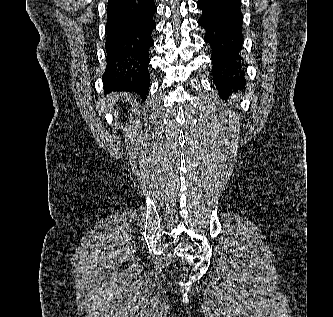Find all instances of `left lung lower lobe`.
I'll use <instances>...</instances> for the list:
<instances>
[{"label": "left lung lower lobe", "instance_id": "1", "mask_svg": "<svg viewBox=\"0 0 333 317\" xmlns=\"http://www.w3.org/2000/svg\"><path fill=\"white\" fill-rule=\"evenodd\" d=\"M202 15L198 24L206 31L204 41L212 49L213 79L222 98L245 86L242 65L241 0H198Z\"/></svg>", "mask_w": 333, "mask_h": 317}]
</instances>
